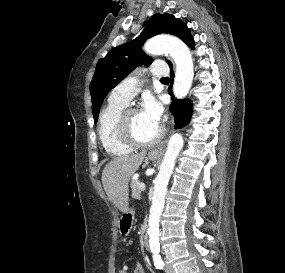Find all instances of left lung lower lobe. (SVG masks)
Instances as JSON below:
<instances>
[{"label": "left lung lower lobe", "mask_w": 285, "mask_h": 273, "mask_svg": "<svg viewBox=\"0 0 285 273\" xmlns=\"http://www.w3.org/2000/svg\"><path fill=\"white\" fill-rule=\"evenodd\" d=\"M185 43L194 49V40L190 36L185 41ZM170 68L172 69V64H169ZM171 80H173V72L171 73ZM169 93L172 95L171 91ZM170 110L173 111L174 118H175V128H182L186 126L192 115V102L187 99L178 100L173 98V103L170 106Z\"/></svg>", "instance_id": "left-lung-lower-lobe-1"}]
</instances>
